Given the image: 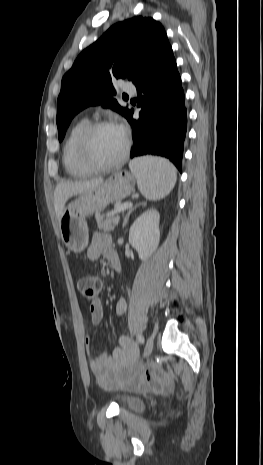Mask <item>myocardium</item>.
<instances>
[{
    "label": "myocardium",
    "instance_id": "obj_1",
    "mask_svg": "<svg viewBox=\"0 0 263 465\" xmlns=\"http://www.w3.org/2000/svg\"><path fill=\"white\" fill-rule=\"evenodd\" d=\"M105 127H117L108 120H98L88 123L81 131L77 141V155L80 162L91 171H107L119 166L127 157L130 149V139L124 134V147L121 154L109 163H99L93 159L90 153V140L92 135L99 129Z\"/></svg>",
    "mask_w": 263,
    "mask_h": 465
}]
</instances>
